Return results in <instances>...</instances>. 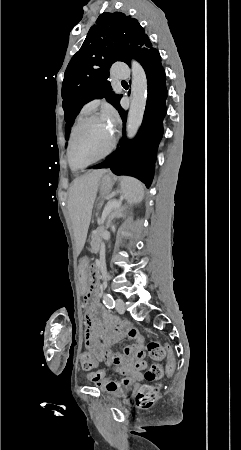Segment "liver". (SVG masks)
<instances>
[{
	"label": "liver",
	"mask_w": 241,
	"mask_h": 450,
	"mask_svg": "<svg viewBox=\"0 0 241 450\" xmlns=\"http://www.w3.org/2000/svg\"><path fill=\"white\" fill-rule=\"evenodd\" d=\"M107 170H93L81 178L74 180L69 190V210L78 226H82L86 218V228L91 220L92 208L98 192L99 182Z\"/></svg>",
	"instance_id": "liver-1"
}]
</instances>
